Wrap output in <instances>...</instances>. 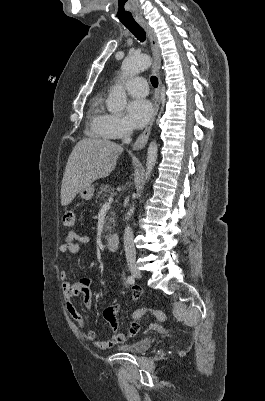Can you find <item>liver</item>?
I'll return each instance as SVG.
<instances>
[{
	"label": "liver",
	"mask_w": 265,
	"mask_h": 401,
	"mask_svg": "<svg viewBox=\"0 0 265 401\" xmlns=\"http://www.w3.org/2000/svg\"><path fill=\"white\" fill-rule=\"evenodd\" d=\"M123 146L106 138H82L75 144L65 166L61 205H70L77 192L97 178L109 176Z\"/></svg>",
	"instance_id": "liver-1"
}]
</instances>
